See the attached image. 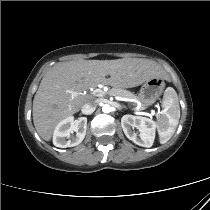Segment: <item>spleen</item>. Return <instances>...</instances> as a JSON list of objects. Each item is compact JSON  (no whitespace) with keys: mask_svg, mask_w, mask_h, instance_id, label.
<instances>
[{"mask_svg":"<svg viewBox=\"0 0 210 210\" xmlns=\"http://www.w3.org/2000/svg\"><path fill=\"white\" fill-rule=\"evenodd\" d=\"M163 115L157 120L160 143L164 144L175 133L180 118V107L176 91L168 87L163 96Z\"/></svg>","mask_w":210,"mask_h":210,"instance_id":"3e777b00","label":"spleen"}]
</instances>
